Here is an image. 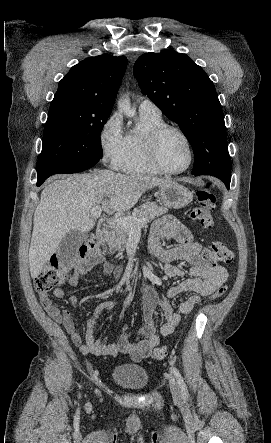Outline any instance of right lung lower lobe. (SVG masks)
I'll return each instance as SVG.
<instances>
[{
    "mask_svg": "<svg viewBox=\"0 0 271 443\" xmlns=\"http://www.w3.org/2000/svg\"><path fill=\"white\" fill-rule=\"evenodd\" d=\"M96 163H62L37 170V186H40L49 176L58 173H77L89 169Z\"/></svg>",
    "mask_w": 271,
    "mask_h": 443,
    "instance_id": "98d812e1",
    "label": "right lung lower lobe"
}]
</instances>
